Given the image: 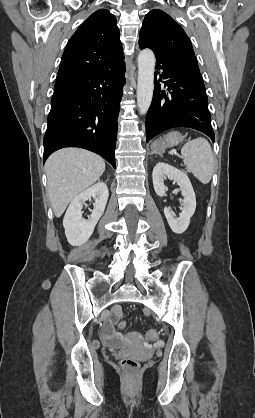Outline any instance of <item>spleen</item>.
Wrapping results in <instances>:
<instances>
[{
	"mask_svg": "<svg viewBox=\"0 0 255 418\" xmlns=\"http://www.w3.org/2000/svg\"><path fill=\"white\" fill-rule=\"evenodd\" d=\"M187 171L202 184H208L214 173V156L209 142L198 137L188 141L181 149Z\"/></svg>",
	"mask_w": 255,
	"mask_h": 418,
	"instance_id": "1",
	"label": "spleen"
}]
</instances>
